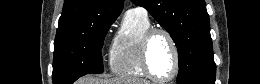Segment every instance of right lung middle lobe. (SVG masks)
Here are the masks:
<instances>
[{
    "label": "right lung middle lobe",
    "instance_id": "1",
    "mask_svg": "<svg viewBox=\"0 0 260 84\" xmlns=\"http://www.w3.org/2000/svg\"><path fill=\"white\" fill-rule=\"evenodd\" d=\"M115 20L90 24L80 33L55 38L53 83L72 84L80 76L104 71L101 49Z\"/></svg>",
    "mask_w": 260,
    "mask_h": 84
}]
</instances>
